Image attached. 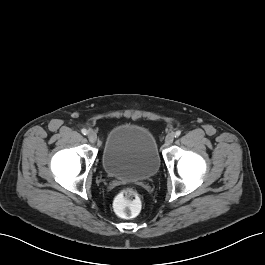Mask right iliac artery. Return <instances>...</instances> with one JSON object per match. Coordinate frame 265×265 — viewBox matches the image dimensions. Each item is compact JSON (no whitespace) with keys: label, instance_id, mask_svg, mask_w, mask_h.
Listing matches in <instances>:
<instances>
[{"label":"right iliac artery","instance_id":"82829eb1","mask_svg":"<svg viewBox=\"0 0 265 265\" xmlns=\"http://www.w3.org/2000/svg\"><path fill=\"white\" fill-rule=\"evenodd\" d=\"M81 132H82V134H84V135H87V134H88V131H87L86 129H82Z\"/></svg>","mask_w":265,"mask_h":265}]
</instances>
